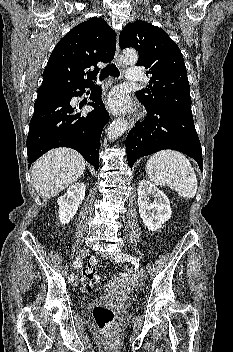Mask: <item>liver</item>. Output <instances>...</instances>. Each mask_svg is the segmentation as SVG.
<instances>
[{
    "mask_svg": "<svg viewBox=\"0 0 233 352\" xmlns=\"http://www.w3.org/2000/svg\"><path fill=\"white\" fill-rule=\"evenodd\" d=\"M84 158L69 148L53 149L32 166L34 187L44 199H50L77 181L85 170Z\"/></svg>",
    "mask_w": 233,
    "mask_h": 352,
    "instance_id": "1",
    "label": "liver"
}]
</instances>
